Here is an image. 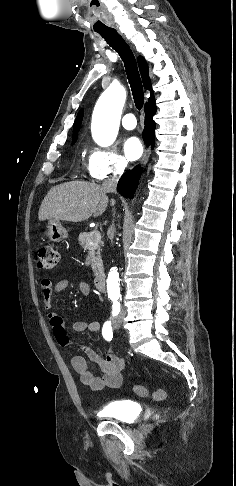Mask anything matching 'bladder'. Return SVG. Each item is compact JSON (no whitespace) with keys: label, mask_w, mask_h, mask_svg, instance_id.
I'll list each match as a JSON object with an SVG mask.
<instances>
[{"label":"bladder","mask_w":236,"mask_h":486,"mask_svg":"<svg viewBox=\"0 0 236 486\" xmlns=\"http://www.w3.org/2000/svg\"><path fill=\"white\" fill-rule=\"evenodd\" d=\"M139 414V405L133 401L121 400L106 404L101 410L103 417L113 418L123 422L134 421Z\"/></svg>","instance_id":"bladder-1"}]
</instances>
